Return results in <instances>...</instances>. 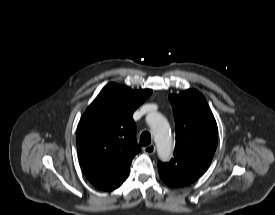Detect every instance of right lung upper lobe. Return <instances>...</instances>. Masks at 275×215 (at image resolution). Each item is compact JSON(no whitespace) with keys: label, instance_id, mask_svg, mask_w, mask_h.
<instances>
[{"label":"right lung upper lobe","instance_id":"obj_1","mask_svg":"<svg viewBox=\"0 0 275 215\" xmlns=\"http://www.w3.org/2000/svg\"><path fill=\"white\" fill-rule=\"evenodd\" d=\"M150 89L107 84L82 116L76 132L81 168L90 183L105 191L118 188L140 151L133 113Z\"/></svg>","mask_w":275,"mask_h":215}]
</instances>
